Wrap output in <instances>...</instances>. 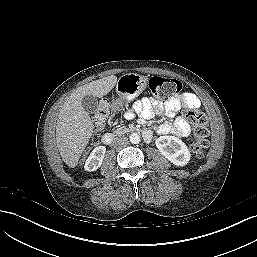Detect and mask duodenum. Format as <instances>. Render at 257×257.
Returning a JSON list of instances; mask_svg holds the SVG:
<instances>
[{"label": "duodenum", "instance_id": "duodenum-1", "mask_svg": "<svg viewBox=\"0 0 257 257\" xmlns=\"http://www.w3.org/2000/svg\"><path fill=\"white\" fill-rule=\"evenodd\" d=\"M142 134L146 140H150L151 134L148 130L143 131ZM101 141H102V144L108 146L113 143L114 137L111 133L106 132L102 135Z\"/></svg>", "mask_w": 257, "mask_h": 257}]
</instances>
